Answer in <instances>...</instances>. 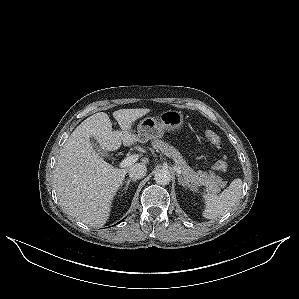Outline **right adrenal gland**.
Instances as JSON below:
<instances>
[{
	"instance_id": "right-adrenal-gland-1",
	"label": "right adrenal gland",
	"mask_w": 299,
	"mask_h": 299,
	"mask_svg": "<svg viewBox=\"0 0 299 299\" xmlns=\"http://www.w3.org/2000/svg\"><path fill=\"white\" fill-rule=\"evenodd\" d=\"M132 181H136L135 179H128L127 181H124L125 183V186L123 187V190L122 191H125L128 189L129 185H130V182ZM121 188H122V185H121Z\"/></svg>"
}]
</instances>
